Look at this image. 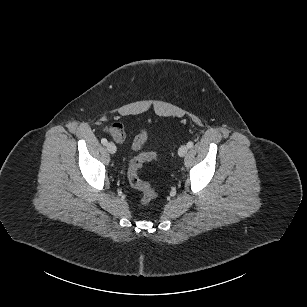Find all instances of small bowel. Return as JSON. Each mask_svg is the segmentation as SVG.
I'll return each instance as SVG.
<instances>
[{
    "label": "small bowel",
    "mask_w": 307,
    "mask_h": 307,
    "mask_svg": "<svg viewBox=\"0 0 307 307\" xmlns=\"http://www.w3.org/2000/svg\"><path fill=\"white\" fill-rule=\"evenodd\" d=\"M109 133L113 137V139L118 143H122L125 140V131L122 124L119 122H114L109 127ZM146 139H147L146 131H141L134 139L133 149L139 150L146 141Z\"/></svg>",
    "instance_id": "small-bowel-1"
}]
</instances>
